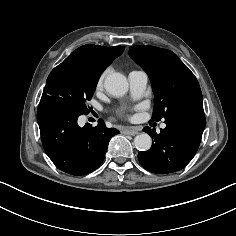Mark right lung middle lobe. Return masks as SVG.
<instances>
[{"label":"right lung middle lobe","instance_id":"1","mask_svg":"<svg viewBox=\"0 0 236 236\" xmlns=\"http://www.w3.org/2000/svg\"><path fill=\"white\" fill-rule=\"evenodd\" d=\"M101 72H94L62 62L48 76L42 97L64 98L80 113L87 112L86 101L91 100Z\"/></svg>","mask_w":236,"mask_h":236}]
</instances>
